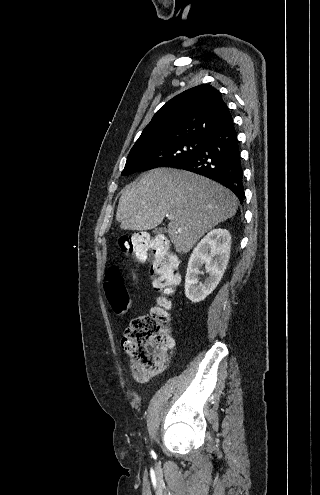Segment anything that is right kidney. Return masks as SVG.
I'll list each match as a JSON object with an SVG mask.
<instances>
[{
  "mask_svg": "<svg viewBox=\"0 0 320 495\" xmlns=\"http://www.w3.org/2000/svg\"><path fill=\"white\" fill-rule=\"evenodd\" d=\"M231 235L226 229H213L194 248L187 267L185 295L194 302L204 300L219 284L229 261ZM205 264L209 276L199 282L200 268Z\"/></svg>",
  "mask_w": 320,
  "mask_h": 495,
  "instance_id": "obj_1",
  "label": "right kidney"
}]
</instances>
